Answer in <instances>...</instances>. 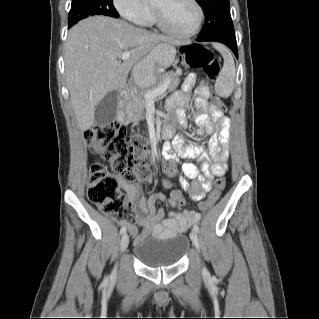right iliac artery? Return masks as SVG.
I'll return each instance as SVG.
<instances>
[{
  "instance_id": "1",
  "label": "right iliac artery",
  "mask_w": 319,
  "mask_h": 319,
  "mask_svg": "<svg viewBox=\"0 0 319 319\" xmlns=\"http://www.w3.org/2000/svg\"><path fill=\"white\" fill-rule=\"evenodd\" d=\"M126 232V228L125 227H122L121 229H120V234L122 235V234H124ZM108 280V278L106 277L105 278V281H107Z\"/></svg>"
}]
</instances>
